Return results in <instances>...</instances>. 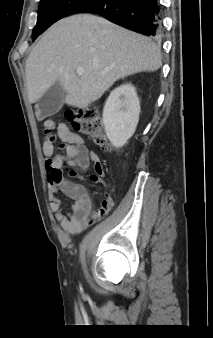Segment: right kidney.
I'll use <instances>...</instances> for the list:
<instances>
[{
  "label": "right kidney",
  "instance_id": "right-kidney-1",
  "mask_svg": "<svg viewBox=\"0 0 213 338\" xmlns=\"http://www.w3.org/2000/svg\"><path fill=\"white\" fill-rule=\"evenodd\" d=\"M140 113V101L136 89L124 84L114 89L103 109L105 133L114 147H122L134 134Z\"/></svg>",
  "mask_w": 213,
  "mask_h": 338
}]
</instances>
